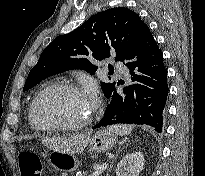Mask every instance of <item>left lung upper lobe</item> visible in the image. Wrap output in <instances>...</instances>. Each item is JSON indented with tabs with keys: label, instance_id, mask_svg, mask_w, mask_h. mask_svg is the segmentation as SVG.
Listing matches in <instances>:
<instances>
[{
	"label": "left lung upper lobe",
	"instance_id": "left-lung-upper-lobe-1",
	"mask_svg": "<svg viewBox=\"0 0 205 176\" xmlns=\"http://www.w3.org/2000/svg\"><path fill=\"white\" fill-rule=\"evenodd\" d=\"M145 23L128 8H112L97 13L74 31L56 37L42 52L28 74L26 91L49 76L72 69L94 74L96 60L115 56L121 61ZM115 83H103L106 96Z\"/></svg>",
	"mask_w": 205,
	"mask_h": 176
}]
</instances>
